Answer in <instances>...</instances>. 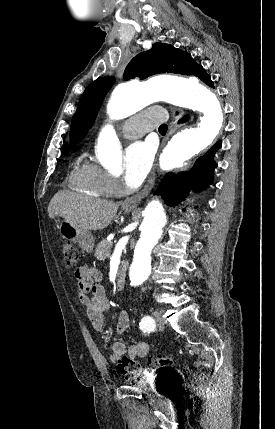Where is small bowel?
I'll list each match as a JSON object with an SVG mask.
<instances>
[{
    "label": "small bowel",
    "instance_id": "obj_1",
    "mask_svg": "<svg viewBox=\"0 0 275 429\" xmlns=\"http://www.w3.org/2000/svg\"><path fill=\"white\" fill-rule=\"evenodd\" d=\"M76 290L80 302L83 304L87 316L97 331L103 329L105 316L109 310L110 304L104 294L103 287L100 284L102 279L101 272L92 266L82 265L75 271ZM88 294H91L89 297ZM130 325V316L127 311L119 314L117 321V333L125 336ZM149 346L146 342L140 341L134 344L126 345L121 341L112 344L111 360L120 362L121 359L127 358L135 360L147 356Z\"/></svg>",
    "mask_w": 275,
    "mask_h": 429
}]
</instances>
